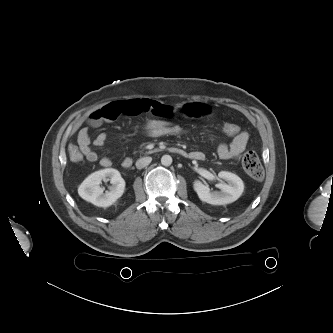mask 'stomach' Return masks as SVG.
<instances>
[{
	"label": "stomach",
	"instance_id": "obj_1",
	"mask_svg": "<svg viewBox=\"0 0 333 333\" xmlns=\"http://www.w3.org/2000/svg\"><path fill=\"white\" fill-rule=\"evenodd\" d=\"M219 106L215 102H192L189 104L181 103L175 106L174 115L181 120L215 118L219 114Z\"/></svg>",
	"mask_w": 333,
	"mask_h": 333
}]
</instances>
